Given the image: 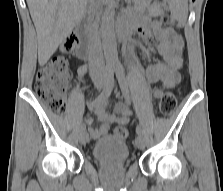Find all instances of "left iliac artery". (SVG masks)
I'll return each instance as SVG.
<instances>
[{
    "mask_svg": "<svg viewBox=\"0 0 223 191\" xmlns=\"http://www.w3.org/2000/svg\"><path fill=\"white\" fill-rule=\"evenodd\" d=\"M114 70H115L116 77L118 79L120 88H121L124 96L128 99L129 98V96H128V85H127V81H126V78H125V74H124V70H123L122 65L120 63L115 64L114 65ZM136 133L140 134V135L143 133L142 128H141L140 125L136 126Z\"/></svg>",
    "mask_w": 223,
    "mask_h": 191,
    "instance_id": "44dca946",
    "label": "left iliac artery"
}]
</instances>
